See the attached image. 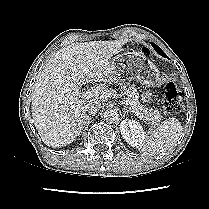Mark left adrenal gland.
Segmentation results:
<instances>
[{
  "mask_svg": "<svg viewBox=\"0 0 209 209\" xmlns=\"http://www.w3.org/2000/svg\"><path fill=\"white\" fill-rule=\"evenodd\" d=\"M128 112H129V110L126 108V106H124V108H123V116H125L126 113H128Z\"/></svg>",
  "mask_w": 209,
  "mask_h": 209,
  "instance_id": "left-adrenal-gland-1",
  "label": "left adrenal gland"
}]
</instances>
